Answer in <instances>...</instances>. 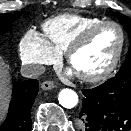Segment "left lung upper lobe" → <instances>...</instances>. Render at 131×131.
Here are the masks:
<instances>
[{
    "mask_svg": "<svg viewBox=\"0 0 131 131\" xmlns=\"http://www.w3.org/2000/svg\"><path fill=\"white\" fill-rule=\"evenodd\" d=\"M116 16L118 17L120 23L127 30L129 40L131 42V19L120 13H116ZM125 72H131V45L129 47L127 57L117 74H122Z\"/></svg>",
    "mask_w": 131,
    "mask_h": 131,
    "instance_id": "1",
    "label": "left lung upper lobe"
}]
</instances>
